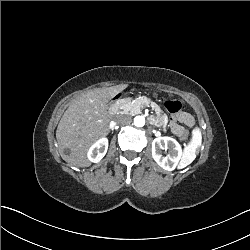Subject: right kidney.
Here are the masks:
<instances>
[{"instance_id": "obj_1", "label": "right kidney", "mask_w": 250, "mask_h": 250, "mask_svg": "<svg viewBox=\"0 0 250 250\" xmlns=\"http://www.w3.org/2000/svg\"><path fill=\"white\" fill-rule=\"evenodd\" d=\"M108 149V139L100 138L96 143H94L87 153L89 161L93 163H98L106 154Z\"/></svg>"}]
</instances>
